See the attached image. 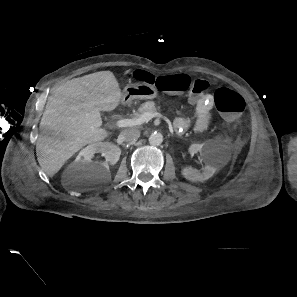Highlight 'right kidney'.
Returning a JSON list of instances; mask_svg holds the SVG:
<instances>
[{
  "mask_svg": "<svg viewBox=\"0 0 297 297\" xmlns=\"http://www.w3.org/2000/svg\"><path fill=\"white\" fill-rule=\"evenodd\" d=\"M95 153H102L105 157V162L92 164V158ZM120 155L121 149L115 144L111 142H97L83 148L78 155V161L92 172H98L101 168L108 171L110 165H115L119 161Z\"/></svg>",
  "mask_w": 297,
  "mask_h": 297,
  "instance_id": "right-kidney-1",
  "label": "right kidney"
}]
</instances>
